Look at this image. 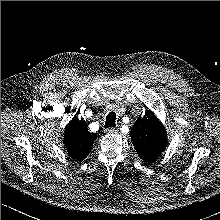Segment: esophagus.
I'll return each instance as SVG.
<instances>
[{
  "label": "esophagus",
  "mask_w": 220,
  "mask_h": 220,
  "mask_svg": "<svg viewBox=\"0 0 220 220\" xmlns=\"http://www.w3.org/2000/svg\"><path fill=\"white\" fill-rule=\"evenodd\" d=\"M105 132L108 133V134H113V133H117V129L116 128H106L105 129Z\"/></svg>",
  "instance_id": "esophagus-1"
}]
</instances>
